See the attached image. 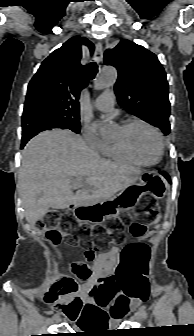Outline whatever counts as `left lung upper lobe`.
I'll return each instance as SVG.
<instances>
[{"label": "left lung upper lobe", "instance_id": "obj_1", "mask_svg": "<svg viewBox=\"0 0 194 336\" xmlns=\"http://www.w3.org/2000/svg\"><path fill=\"white\" fill-rule=\"evenodd\" d=\"M104 63L118 70L114 90L120 106L169 134L168 82L157 56L132 41L121 40L106 50Z\"/></svg>", "mask_w": 194, "mask_h": 336}]
</instances>
